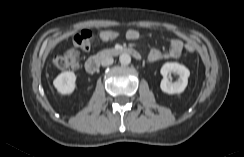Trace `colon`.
Returning a JSON list of instances; mask_svg holds the SVG:
<instances>
[{
  "instance_id": "colon-1",
  "label": "colon",
  "mask_w": 244,
  "mask_h": 157,
  "mask_svg": "<svg viewBox=\"0 0 244 157\" xmlns=\"http://www.w3.org/2000/svg\"><path fill=\"white\" fill-rule=\"evenodd\" d=\"M119 36L120 33L115 30H104L99 33V38L105 42L116 40ZM93 39V33L89 30H83L76 34L73 39V46L54 57V66L62 71L76 70L79 67V49H89ZM185 48L187 52L194 51V46L190 43H187Z\"/></svg>"
}]
</instances>
